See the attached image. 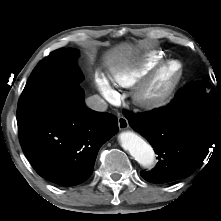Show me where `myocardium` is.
<instances>
[{"mask_svg":"<svg viewBox=\"0 0 221 221\" xmlns=\"http://www.w3.org/2000/svg\"><path fill=\"white\" fill-rule=\"evenodd\" d=\"M179 67L178 74L171 85L162 92L155 93L152 86L160 73L170 65ZM184 78V66L181 61L171 59L160 63L148 76L138 82L133 90L132 99L134 103L144 110H155L166 105L174 96Z\"/></svg>","mask_w":221,"mask_h":221,"instance_id":"obj_1","label":"myocardium"}]
</instances>
